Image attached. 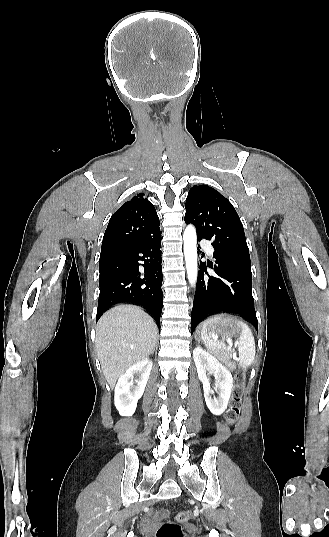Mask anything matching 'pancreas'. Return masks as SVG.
<instances>
[{
  "mask_svg": "<svg viewBox=\"0 0 329 537\" xmlns=\"http://www.w3.org/2000/svg\"><path fill=\"white\" fill-rule=\"evenodd\" d=\"M221 361H223L230 369H234V364L231 362V357L224 353H214Z\"/></svg>",
  "mask_w": 329,
  "mask_h": 537,
  "instance_id": "pancreas-1",
  "label": "pancreas"
}]
</instances>
